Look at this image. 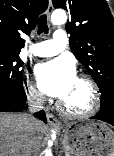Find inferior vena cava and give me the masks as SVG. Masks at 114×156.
I'll return each instance as SVG.
<instances>
[{"instance_id":"602c4592","label":"inferior vena cava","mask_w":114,"mask_h":156,"mask_svg":"<svg viewBox=\"0 0 114 156\" xmlns=\"http://www.w3.org/2000/svg\"><path fill=\"white\" fill-rule=\"evenodd\" d=\"M44 102V96L41 93L37 91L29 93L28 106L31 113L40 111L44 106ZM29 117L30 119L35 120L33 116L30 115ZM24 156H35V152L33 149H28Z\"/></svg>"}]
</instances>
